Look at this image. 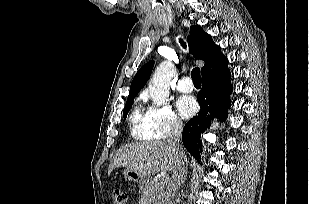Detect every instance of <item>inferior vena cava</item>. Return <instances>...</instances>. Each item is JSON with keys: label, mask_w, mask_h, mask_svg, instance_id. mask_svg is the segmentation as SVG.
<instances>
[{"label": "inferior vena cava", "mask_w": 309, "mask_h": 204, "mask_svg": "<svg viewBox=\"0 0 309 204\" xmlns=\"http://www.w3.org/2000/svg\"><path fill=\"white\" fill-rule=\"evenodd\" d=\"M182 133L181 121H174L170 134L166 139L167 143L171 146L176 154V166L173 171V177L167 185L166 193L164 195L163 204H173V197L178 191L180 185L186 180L187 174V157L183 148L180 145V137Z\"/></svg>", "instance_id": "1"}]
</instances>
